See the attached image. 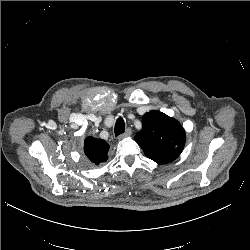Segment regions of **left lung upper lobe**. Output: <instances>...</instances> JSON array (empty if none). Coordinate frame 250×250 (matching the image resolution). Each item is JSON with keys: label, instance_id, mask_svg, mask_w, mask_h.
Instances as JSON below:
<instances>
[{"label": "left lung upper lobe", "instance_id": "5c2ea615", "mask_svg": "<svg viewBox=\"0 0 250 250\" xmlns=\"http://www.w3.org/2000/svg\"><path fill=\"white\" fill-rule=\"evenodd\" d=\"M186 135L181 124L160 111H150L142 117V130L135 141L147 158L158 164L175 160L182 152Z\"/></svg>", "mask_w": 250, "mask_h": 250}]
</instances>
